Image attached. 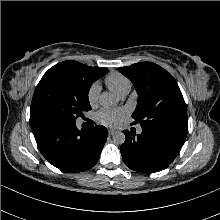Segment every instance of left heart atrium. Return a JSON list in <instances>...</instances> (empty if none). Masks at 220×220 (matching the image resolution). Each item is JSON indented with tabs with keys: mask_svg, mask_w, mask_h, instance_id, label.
Masks as SVG:
<instances>
[{
	"mask_svg": "<svg viewBox=\"0 0 220 220\" xmlns=\"http://www.w3.org/2000/svg\"><path fill=\"white\" fill-rule=\"evenodd\" d=\"M125 116L124 109H103L97 114V120L102 125L115 127L121 123Z\"/></svg>",
	"mask_w": 220,
	"mask_h": 220,
	"instance_id": "39dd6f15",
	"label": "left heart atrium"
}]
</instances>
